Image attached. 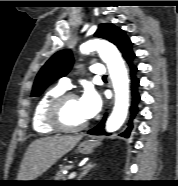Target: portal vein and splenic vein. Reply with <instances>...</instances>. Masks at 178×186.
Segmentation results:
<instances>
[{
    "instance_id": "obj_1",
    "label": "portal vein and splenic vein",
    "mask_w": 178,
    "mask_h": 186,
    "mask_svg": "<svg viewBox=\"0 0 178 186\" xmlns=\"http://www.w3.org/2000/svg\"><path fill=\"white\" fill-rule=\"evenodd\" d=\"M76 175H77V172H76V171H73V172H71V173L69 174L68 178H69V179H73V178L76 177Z\"/></svg>"
}]
</instances>
